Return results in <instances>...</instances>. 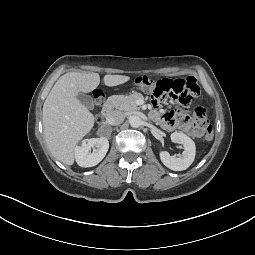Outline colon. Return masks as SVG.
Here are the masks:
<instances>
[{
	"label": "colon",
	"instance_id": "5ec220e1",
	"mask_svg": "<svg viewBox=\"0 0 255 255\" xmlns=\"http://www.w3.org/2000/svg\"><path fill=\"white\" fill-rule=\"evenodd\" d=\"M135 85L152 95L155 105H159L163 98L169 97L176 101L182 108L187 109L188 105L193 98L197 97L200 93L199 86L196 79L189 76L187 79L168 80L162 79L155 81L146 75L138 76L134 81ZM97 105L102 102V94L97 92L95 95ZM195 120L206 128L204 139L212 141L213 129L207 123L206 113L202 107H196L192 110ZM97 122L101 121V117H96Z\"/></svg>",
	"mask_w": 255,
	"mask_h": 255
}]
</instances>
